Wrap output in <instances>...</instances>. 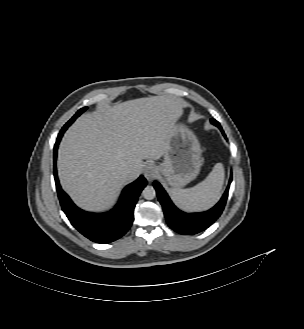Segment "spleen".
Listing matches in <instances>:
<instances>
[{"mask_svg": "<svg viewBox=\"0 0 304 329\" xmlns=\"http://www.w3.org/2000/svg\"><path fill=\"white\" fill-rule=\"evenodd\" d=\"M225 172L217 163L205 180L192 188L169 190L174 203L186 211H202L213 206L220 197Z\"/></svg>", "mask_w": 304, "mask_h": 329, "instance_id": "spleen-1", "label": "spleen"}]
</instances>
